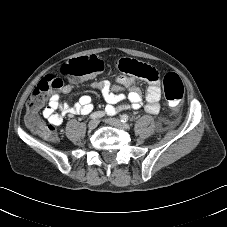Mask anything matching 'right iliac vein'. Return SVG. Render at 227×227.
I'll use <instances>...</instances> for the list:
<instances>
[{
  "mask_svg": "<svg viewBox=\"0 0 227 227\" xmlns=\"http://www.w3.org/2000/svg\"><path fill=\"white\" fill-rule=\"evenodd\" d=\"M98 125V120L97 119H92L89 123H88V128L89 129H94L96 128Z\"/></svg>",
  "mask_w": 227,
  "mask_h": 227,
  "instance_id": "1",
  "label": "right iliac vein"
}]
</instances>
